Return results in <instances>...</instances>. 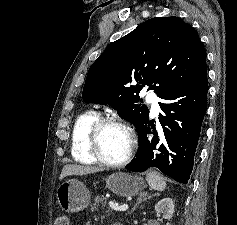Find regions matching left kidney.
Returning a JSON list of instances; mask_svg holds the SVG:
<instances>
[{"instance_id":"obj_1","label":"left kidney","mask_w":237,"mask_h":225,"mask_svg":"<svg viewBox=\"0 0 237 225\" xmlns=\"http://www.w3.org/2000/svg\"><path fill=\"white\" fill-rule=\"evenodd\" d=\"M157 214H163V218L170 220L174 212V202L171 198H163L155 205ZM166 225H170L167 223Z\"/></svg>"}]
</instances>
